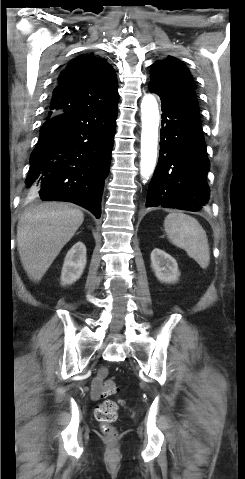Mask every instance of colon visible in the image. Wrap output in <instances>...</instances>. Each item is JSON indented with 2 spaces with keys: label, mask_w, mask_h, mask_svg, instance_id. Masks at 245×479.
Returning a JSON list of instances; mask_svg holds the SVG:
<instances>
[{
  "label": "colon",
  "mask_w": 245,
  "mask_h": 479,
  "mask_svg": "<svg viewBox=\"0 0 245 479\" xmlns=\"http://www.w3.org/2000/svg\"><path fill=\"white\" fill-rule=\"evenodd\" d=\"M118 391V385L112 379L104 382L103 392L105 395H112ZM118 404L113 400L102 402L95 411L96 419L102 424L103 430L107 434H112L111 424L117 418Z\"/></svg>",
  "instance_id": "1"
}]
</instances>
